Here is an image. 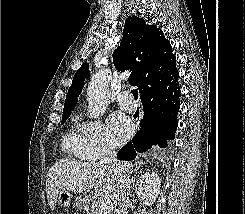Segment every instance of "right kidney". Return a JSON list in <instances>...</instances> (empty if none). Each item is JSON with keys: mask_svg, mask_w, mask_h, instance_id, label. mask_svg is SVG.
<instances>
[{"mask_svg": "<svg viewBox=\"0 0 245 214\" xmlns=\"http://www.w3.org/2000/svg\"><path fill=\"white\" fill-rule=\"evenodd\" d=\"M160 184L161 180L157 173L146 172L138 179L135 193L144 205L151 206L160 192Z\"/></svg>", "mask_w": 245, "mask_h": 214, "instance_id": "obj_1", "label": "right kidney"}]
</instances>
